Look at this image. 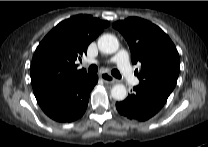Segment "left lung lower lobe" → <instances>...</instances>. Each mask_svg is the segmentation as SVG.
Segmentation results:
<instances>
[{
	"label": "left lung lower lobe",
	"instance_id": "1",
	"mask_svg": "<svg viewBox=\"0 0 208 147\" xmlns=\"http://www.w3.org/2000/svg\"><path fill=\"white\" fill-rule=\"evenodd\" d=\"M133 90L124 101L116 103V108L121 115L139 121L154 116L169 97L168 94L145 85H138Z\"/></svg>",
	"mask_w": 208,
	"mask_h": 147
}]
</instances>
